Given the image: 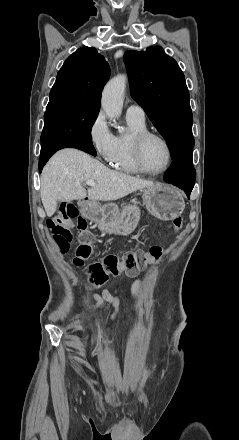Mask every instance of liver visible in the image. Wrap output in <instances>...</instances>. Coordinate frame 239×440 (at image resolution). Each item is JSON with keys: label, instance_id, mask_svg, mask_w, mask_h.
<instances>
[{"label": "liver", "instance_id": "6515ba94", "mask_svg": "<svg viewBox=\"0 0 239 440\" xmlns=\"http://www.w3.org/2000/svg\"><path fill=\"white\" fill-rule=\"evenodd\" d=\"M95 180L96 186L85 190L82 182ZM143 188H160L149 180L133 178L106 168L98 160L79 150H60L50 158L41 174V200L48 218L56 212L57 202L69 200H120Z\"/></svg>", "mask_w": 239, "mask_h": 440}]
</instances>
